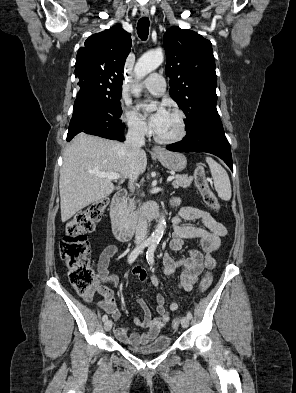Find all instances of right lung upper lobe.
Segmentation results:
<instances>
[{
  "label": "right lung upper lobe",
  "instance_id": "cb5924a9",
  "mask_svg": "<svg viewBox=\"0 0 296 393\" xmlns=\"http://www.w3.org/2000/svg\"><path fill=\"white\" fill-rule=\"evenodd\" d=\"M131 48V34L119 24L91 35L79 48L75 63V77L94 78L121 89L124 63Z\"/></svg>",
  "mask_w": 296,
  "mask_h": 393
}]
</instances>
